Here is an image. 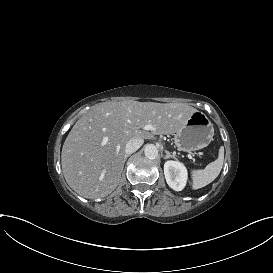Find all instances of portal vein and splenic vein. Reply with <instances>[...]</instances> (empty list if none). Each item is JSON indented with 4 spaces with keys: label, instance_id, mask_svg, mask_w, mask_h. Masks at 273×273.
Returning <instances> with one entry per match:
<instances>
[{
    "label": "portal vein and splenic vein",
    "instance_id": "portal-vein-and-splenic-vein-1",
    "mask_svg": "<svg viewBox=\"0 0 273 273\" xmlns=\"http://www.w3.org/2000/svg\"><path fill=\"white\" fill-rule=\"evenodd\" d=\"M144 130H153V126L152 125H146V126H144ZM190 159H192V156L191 155H189L188 156Z\"/></svg>",
    "mask_w": 273,
    "mask_h": 273
}]
</instances>
